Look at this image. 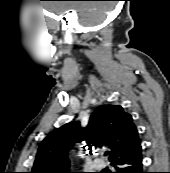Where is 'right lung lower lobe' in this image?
<instances>
[{
	"label": "right lung lower lobe",
	"mask_w": 170,
	"mask_h": 173,
	"mask_svg": "<svg viewBox=\"0 0 170 173\" xmlns=\"http://www.w3.org/2000/svg\"><path fill=\"white\" fill-rule=\"evenodd\" d=\"M111 165L115 167V173H145L142 168L140 144L114 158Z\"/></svg>",
	"instance_id": "right-lung-lower-lobe-1"
}]
</instances>
